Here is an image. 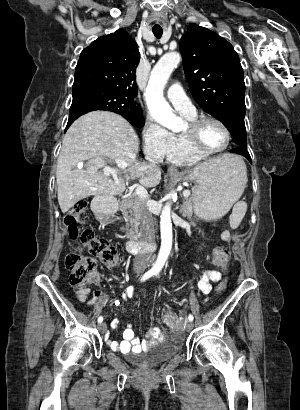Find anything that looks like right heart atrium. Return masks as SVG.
I'll return each instance as SVG.
<instances>
[{
  "label": "right heart atrium",
  "instance_id": "d8ad5b80",
  "mask_svg": "<svg viewBox=\"0 0 300 410\" xmlns=\"http://www.w3.org/2000/svg\"><path fill=\"white\" fill-rule=\"evenodd\" d=\"M142 139L144 153L155 160L165 157L170 143V133L147 115L142 127Z\"/></svg>",
  "mask_w": 300,
  "mask_h": 410
}]
</instances>
